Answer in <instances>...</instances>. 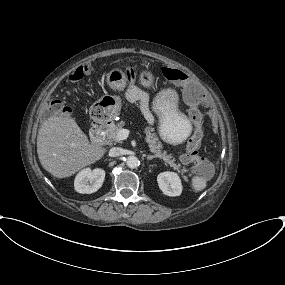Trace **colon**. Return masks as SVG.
I'll use <instances>...</instances> for the list:
<instances>
[{
	"instance_id": "1",
	"label": "colon",
	"mask_w": 285,
	"mask_h": 285,
	"mask_svg": "<svg viewBox=\"0 0 285 285\" xmlns=\"http://www.w3.org/2000/svg\"><path fill=\"white\" fill-rule=\"evenodd\" d=\"M91 73L92 71L88 65L79 66L62 81L61 85L66 86L68 83L78 82L84 77L91 75ZM162 74L167 80L180 84L189 99L197 102L201 100V94L197 86L185 73L174 68L164 67ZM44 111L46 115H57L64 111L63 102L54 96L48 101ZM92 114L95 115V109L92 111ZM189 118L193 124L194 133L188 141L184 154L181 156V161L185 164H193V172L207 178L208 172L212 171V166L207 159L199 155L204 115L199 109L192 108L189 111Z\"/></svg>"
}]
</instances>
